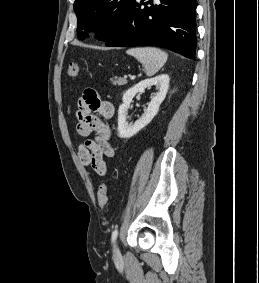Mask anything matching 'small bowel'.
<instances>
[{"mask_svg":"<svg viewBox=\"0 0 259 283\" xmlns=\"http://www.w3.org/2000/svg\"><path fill=\"white\" fill-rule=\"evenodd\" d=\"M113 115V104L102 99L93 89L84 90L78 99L76 131L85 138L78 148V157L100 176H106L108 172L104 157L115 155L110 143L111 129L107 123Z\"/></svg>","mask_w":259,"mask_h":283,"instance_id":"1","label":"small bowel"}]
</instances>
